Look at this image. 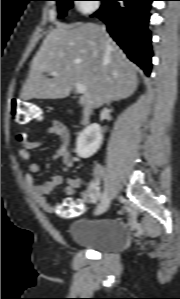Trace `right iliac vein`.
Wrapping results in <instances>:
<instances>
[{"label":"right iliac vein","mask_w":180,"mask_h":299,"mask_svg":"<svg viewBox=\"0 0 180 299\" xmlns=\"http://www.w3.org/2000/svg\"><path fill=\"white\" fill-rule=\"evenodd\" d=\"M110 206V199L106 197L104 201H102L95 210L96 215H101L108 210Z\"/></svg>","instance_id":"1"}]
</instances>
